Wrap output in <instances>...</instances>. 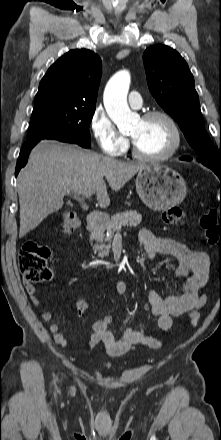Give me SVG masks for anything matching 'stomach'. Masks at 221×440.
<instances>
[{
    "instance_id": "stomach-1",
    "label": "stomach",
    "mask_w": 221,
    "mask_h": 440,
    "mask_svg": "<svg viewBox=\"0 0 221 440\" xmlns=\"http://www.w3.org/2000/svg\"><path fill=\"white\" fill-rule=\"evenodd\" d=\"M135 185L143 203L155 211H164L180 204L187 193L183 177L162 164L147 165L140 170Z\"/></svg>"
}]
</instances>
